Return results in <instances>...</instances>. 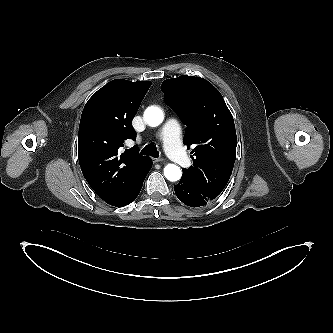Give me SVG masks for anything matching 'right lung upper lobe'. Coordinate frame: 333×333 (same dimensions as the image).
I'll return each mask as SVG.
<instances>
[{
  "label": "right lung upper lobe",
  "mask_w": 333,
  "mask_h": 333,
  "mask_svg": "<svg viewBox=\"0 0 333 333\" xmlns=\"http://www.w3.org/2000/svg\"><path fill=\"white\" fill-rule=\"evenodd\" d=\"M150 81H110L86 103L80 120L78 158L88 184L106 203L122 207L134 195L151 160L124 141L136 139L131 123Z\"/></svg>",
  "instance_id": "cb5924a9"
}]
</instances>
